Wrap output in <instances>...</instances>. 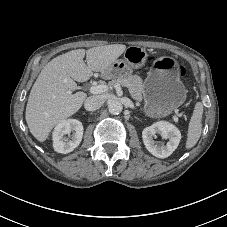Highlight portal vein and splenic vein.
Returning <instances> with one entry per match:
<instances>
[{"label":"portal vein and splenic vein","instance_id":"portal-vein-and-splenic-vein-1","mask_svg":"<svg viewBox=\"0 0 227 227\" xmlns=\"http://www.w3.org/2000/svg\"><path fill=\"white\" fill-rule=\"evenodd\" d=\"M108 90H109V86L104 85V84L93 85V86L90 87V92L92 94H100V93H104ZM172 119L175 123H178V116L177 115H173Z\"/></svg>","mask_w":227,"mask_h":227}]
</instances>
